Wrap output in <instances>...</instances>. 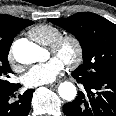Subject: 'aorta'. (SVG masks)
<instances>
[{"label":"aorta","mask_w":116,"mask_h":116,"mask_svg":"<svg viewBox=\"0 0 116 116\" xmlns=\"http://www.w3.org/2000/svg\"><path fill=\"white\" fill-rule=\"evenodd\" d=\"M15 60L21 64H31L47 59L46 50L27 39H19L12 46ZM59 95L66 101L75 99L77 90L73 83L62 82L58 88Z\"/></svg>","instance_id":"762f6f07"}]
</instances>
